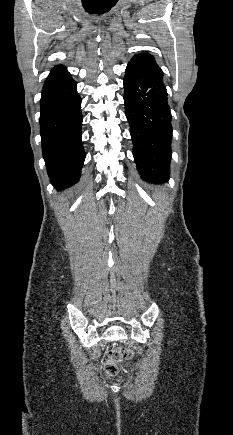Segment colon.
Wrapping results in <instances>:
<instances>
[{
    "instance_id": "1",
    "label": "colon",
    "mask_w": 233,
    "mask_h": 435,
    "mask_svg": "<svg viewBox=\"0 0 233 435\" xmlns=\"http://www.w3.org/2000/svg\"><path fill=\"white\" fill-rule=\"evenodd\" d=\"M131 356L132 352L125 347L119 346L111 349L108 355V361L105 364L106 375L108 377H115L119 372L117 363L129 359Z\"/></svg>"
}]
</instances>
